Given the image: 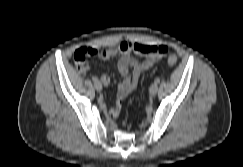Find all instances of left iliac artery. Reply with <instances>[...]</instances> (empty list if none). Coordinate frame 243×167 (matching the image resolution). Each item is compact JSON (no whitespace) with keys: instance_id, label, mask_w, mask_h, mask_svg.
Listing matches in <instances>:
<instances>
[{"instance_id":"left-iliac-artery-1","label":"left iliac artery","mask_w":243,"mask_h":167,"mask_svg":"<svg viewBox=\"0 0 243 167\" xmlns=\"http://www.w3.org/2000/svg\"><path fill=\"white\" fill-rule=\"evenodd\" d=\"M160 82V79L159 78H156L155 79V83L158 84Z\"/></svg>"}]
</instances>
